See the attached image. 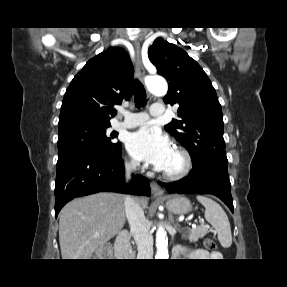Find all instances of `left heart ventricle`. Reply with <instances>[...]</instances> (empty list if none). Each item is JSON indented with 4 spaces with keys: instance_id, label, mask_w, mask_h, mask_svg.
<instances>
[{
    "instance_id": "obj_1",
    "label": "left heart ventricle",
    "mask_w": 287,
    "mask_h": 287,
    "mask_svg": "<svg viewBox=\"0 0 287 287\" xmlns=\"http://www.w3.org/2000/svg\"><path fill=\"white\" fill-rule=\"evenodd\" d=\"M181 166H182L181 156L172 150L163 171H169V172L176 171L180 169Z\"/></svg>"
}]
</instances>
